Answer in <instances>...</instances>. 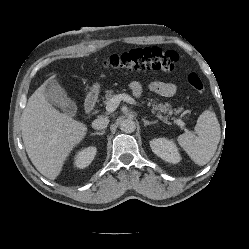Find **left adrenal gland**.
Wrapping results in <instances>:
<instances>
[{"mask_svg": "<svg viewBox=\"0 0 249 249\" xmlns=\"http://www.w3.org/2000/svg\"><path fill=\"white\" fill-rule=\"evenodd\" d=\"M142 121L144 122V126L152 125V124L157 123V121L149 122L148 120H146V119H144V118L142 119Z\"/></svg>", "mask_w": 249, "mask_h": 249, "instance_id": "obj_1", "label": "left adrenal gland"}]
</instances>
